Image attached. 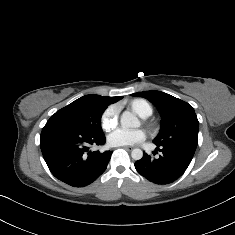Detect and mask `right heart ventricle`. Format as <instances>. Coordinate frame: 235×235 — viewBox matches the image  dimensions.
<instances>
[{
	"label": "right heart ventricle",
	"mask_w": 235,
	"mask_h": 235,
	"mask_svg": "<svg viewBox=\"0 0 235 235\" xmlns=\"http://www.w3.org/2000/svg\"><path fill=\"white\" fill-rule=\"evenodd\" d=\"M129 107L143 118L149 117L153 112L151 104L141 98L131 100L129 102Z\"/></svg>",
	"instance_id": "obj_1"
}]
</instances>
